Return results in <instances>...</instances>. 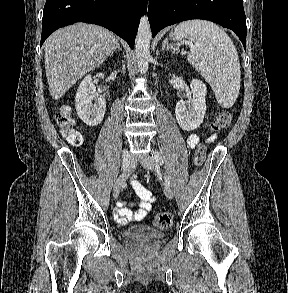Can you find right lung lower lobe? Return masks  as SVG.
Wrapping results in <instances>:
<instances>
[{
	"label": "right lung lower lobe",
	"instance_id": "obj_1",
	"mask_svg": "<svg viewBox=\"0 0 288 293\" xmlns=\"http://www.w3.org/2000/svg\"><path fill=\"white\" fill-rule=\"evenodd\" d=\"M146 9L147 0H46L40 46L56 29L86 22L113 31L133 48Z\"/></svg>",
	"mask_w": 288,
	"mask_h": 293
}]
</instances>
